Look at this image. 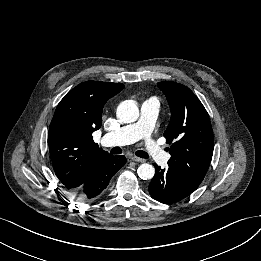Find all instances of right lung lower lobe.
I'll return each mask as SVG.
<instances>
[{"label":"right lung lower lobe","instance_id":"98d812e1","mask_svg":"<svg viewBox=\"0 0 261 261\" xmlns=\"http://www.w3.org/2000/svg\"><path fill=\"white\" fill-rule=\"evenodd\" d=\"M125 156L107 155L98 159L86 181L71 192L81 200H91L101 196L110 179L125 165Z\"/></svg>","mask_w":261,"mask_h":261}]
</instances>
